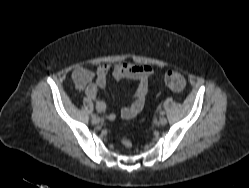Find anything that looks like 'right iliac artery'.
Wrapping results in <instances>:
<instances>
[{"mask_svg": "<svg viewBox=\"0 0 249 188\" xmlns=\"http://www.w3.org/2000/svg\"><path fill=\"white\" fill-rule=\"evenodd\" d=\"M91 117L94 118V117H96V115H95V114H92Z\"/></svg>", "mask_w": 249, "mask_h": 188, "instance_id": "1", "label": "right iliac artery"}]
</instances>
